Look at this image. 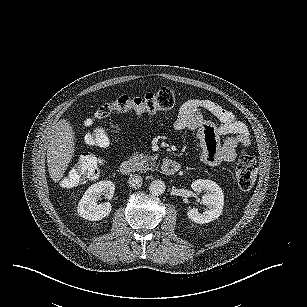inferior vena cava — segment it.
<instances>
[{"label":"inferior vena cava","instance_id":"1","mask_svg":"<svg viewBox=\"0 0 307 307\" xmlns=\"http://www.w3.org/2000/svg\"><path fill=\"white\" fill-rule=\"evenodd\" d=\"M128 182L129 186L134 189H140L143 185V179L138 174L131 175Z\"/></svg>","mask_w":307,"mask_h":307}]
</instances>
